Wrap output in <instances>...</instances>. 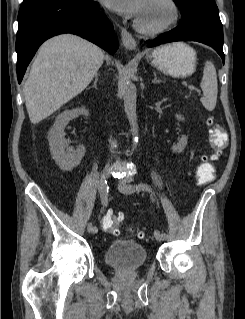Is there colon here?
Returning a JSON list of instances; mask_svg holds the SVG:
<instances>
[{"label": "colon", "mask_w": 245, "mask_h": 319, "mask_svg": "<svg viewBox=\"0 0 245 319\" xmlns=\"http://www.w3.org/2000/svg\"><path fill=\"white\" fill-rule=\"evenodd\" d=\"M209 128V141L211 153L203 156L202 163L197 167L196 179L199 183L206 184L211 182L215 175L216 170L212 163L218 159L222 151L227 145V135L224 129L215 121L213 117H209L206 121ZM124 214H108L102 221V227L105 231L117 235L119 233V224L123 221ZM132 233L137 237H143L144 233L141 228L132 229Z\"/></svg>", "instance_id": "colon-1"}]
</instances>
